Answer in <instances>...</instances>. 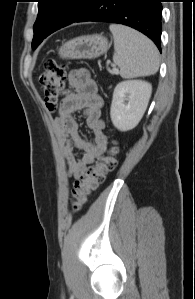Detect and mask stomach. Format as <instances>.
Returning <instances> with one entry per match:
<instances>
[{
    "label": "stomach",
    "instance_id": "stomach-1",
    "mask_svg": "<svg viewBox=\"0 0 195 299\" xmlns=\"http://www.w3.org/2000/svg\"><path fill=\"white\" fill-rule=\"evenodd\" d=\"M109 46L102 34H93L67 41L59 48L58 53L65 59H93L104 54Z\"/></svg>",
    "mask_w": 195,
    "mask_h": 299
}]
</instances>
